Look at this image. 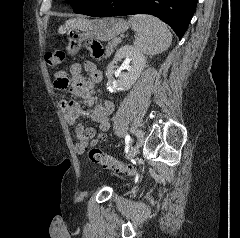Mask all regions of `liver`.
I'll list each match as a JSON object with an SVG mask.
<instances>
[{"label":"liver","mask_w":240,"mask_h":238,"mask_svg":"<svg viewBox=\"0 0 240 238\" xmlns=\"http://www.w3.org/2000/svg\"><path fill=\"white\" fill-rule=\"evenodd\" d=\"M83 19H69L65 22L64 25L59 27L58 33L60 34H64L66 31L70 30V29H75L78 28L81 23H82Z\"/></svg>","instance_id":"liver-1"}]
</instances>
